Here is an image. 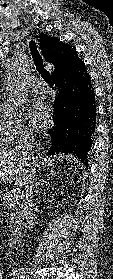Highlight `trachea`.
<instances>
[{
	"label": "trachea",
	"instance_id": "3493384b",
	"mask_svg": "<svg viewBox=\"0 0 113 279\" xmlns=\"http://www.w3.org/2000/svg\"><path fill=\"white\" fill-rule=\"evenodd\" d=\"M29 48L31 51L32 58L34 60L35 66L42 78L50 85H53L52 79L49 72L44 68L42 57L37 49V46L33 40L29 41Z\"/></svg>",
	"mask_w": 113,
	"mask_h": 279
}]
</instances>
